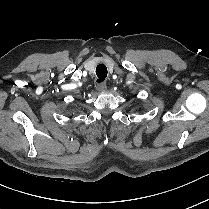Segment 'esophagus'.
<instances>
[{
    "label": "esophagus",
    "instance_id": "esophagus-1",
    "mask_svg": "<svg viewBox=\"0 0 209 209\" xmlns=\"http://www.w3.org/2000/svg\"><path fill=\"white\" fill-rule=\"evenodd\" d=\"M106 88H107V85H106L105 82L99 83V84H97V86H96V89H97V91H99V92L106 90Z\"/></svg>",
    "mask_w": 209,
    "mask_h": 209
}]
</instances>
